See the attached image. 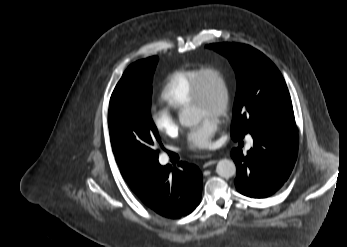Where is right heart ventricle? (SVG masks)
Here are the masks:
<instances>
[{"mask_svg": "<svg viewBox=\"0 0 347 247\" xmlns=\"http://www.w3.org/2000/svg\"><path fill=\"white\" fill-rule=\"evenodd\" d=\"M199 69L200 67L179 69L167 76L160 91V99L170 109L179 110L189 105Z\"/></svg>", "mask_w": 347, "mask_h": 247, "instance_id": "obj_1", "label": "right heart ventricle"}]
</instances>
